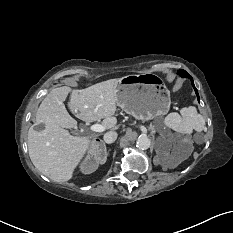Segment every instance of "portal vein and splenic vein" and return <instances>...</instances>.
<instances>
[{
	"label": "portal vein and splenic vein",
	"instance_id": "18ae733b",
	"mask_svg": "<svg viewBox=\"0 0 233 233\" xmlns=\"http://www.w3.org/2000/svg\"><path fill=\"white\" fill-rule=\"evenodd\" d=\"M106 128L101 124H93L90 126V130L94 132H103Z\"/></svg>",
	"mask_w": 233,
	"mask_h": 233
}]
</instances>
